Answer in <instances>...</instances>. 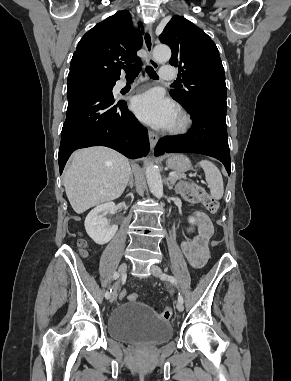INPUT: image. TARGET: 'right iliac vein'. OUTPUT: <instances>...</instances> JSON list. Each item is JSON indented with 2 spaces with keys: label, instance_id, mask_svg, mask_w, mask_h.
<instances>
[{
  "label": "right iliac vein",
  "instance_id": "1",
  "mask_svg": "<svg viewBox=\"0 0 291 381\" xmlns=\"http://www.w3.org/2000/svg\"><path fill=\"white\" fill-rule=\"evenodd\" d=\"M126 270H127V264L122 263L118 268V273L120 275H124L126 273ZM116 298H117V287L114 288V290L111 294V297H110V301L114 302L116 300Z\"/></svg>",
  "mask_w": 291,
  "mask_h": 381
}]
</instances>
